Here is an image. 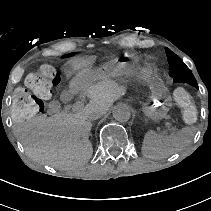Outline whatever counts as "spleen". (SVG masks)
I'll use <instances>...</instances> for the list:
<instances>
[{
	"label": "spleen",
	"instance_id": "3e777b00",
	"mask_svg": "<svg viewBox=\"0 0 211 211\" xmlns=\"http://www.w3.org/2000/svg\"><path fill=\"white\" fill-rule=\"evenodd\" d=\"M196 128L186 126L182 129L163 136L154 130H149L144 134L141 145V152L150 159H162L168 157L192 142Z\"/></svg>",
	"mask_w": 211,
	"mask_h": 211
}]
</instances>
